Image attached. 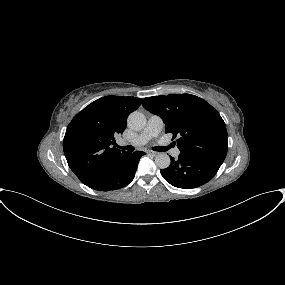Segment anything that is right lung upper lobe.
Instances as JSON below:
<instances>
[{
  "label": "right lung upper lobe",
  "instance_id": "obj_1",
  "mask_svg": "<svg viewBox=\"0 0 285 285\" xmlns=\"http://www.w3.org/2000/svg\"><path fill=\"white\" fill-rule=\"evenodd\" d=\"M140 104L141 99L132 96H105L72 119L63 150L69 167L81 181L109 168L128 153L112 145L125 130L128 115Z\"/></svg>",
  "mask_w": 285,
  "mask_h": 285
}]
</instances>
